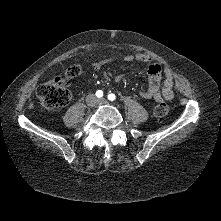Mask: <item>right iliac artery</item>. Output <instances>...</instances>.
<instances>
[{"instance_id":"obj_1","label":"right iliac artery","mask_w":221,"mask_h":221,"mask_svg":"<svg viewBox=\"0 0 221 221\" xmlns=\"http://www.w3.org/2000/svg\"><path fill=\"white\" fill-rule=\"evenodd\" d=\"M96 96H97L98 98L103 97V92H102L101 90L96 91Z\"/></svg>"}]
</instances>
